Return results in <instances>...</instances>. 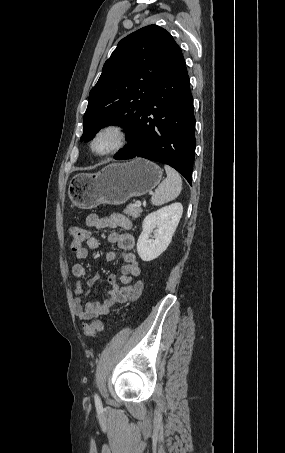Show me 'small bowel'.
I'll return each mask as SVG.
<instances>
[{"instance_id": "c3829d8e", "label": "small bowel", "mask_w": 285, "mask_h": 453, "mask_svg": "<svg viewBox=\"0 0 285 453\" xmlns=\"http://www.w3.org/2000/svg\"><path fill=\"white\" fill-rule=\"evenodd\" d=\"M88 227L98 230L119 228L122 232H111L107 236L109 243L117 245L120 249V258L124 262L121 268V275L118 278L110 275L107 279L109 290L106 292L102 301H89L85 304L82 299L88 295L89 289L98 281L99 276L93 275L85 284L86 268L81 263L72 266V274L76 278L74 284V312L80 321H87L108 314L109 311L120 303H126L137 299L143 290V281L140 279L141 269L136 255L133 252L135 245L134 237L128 232L132 228V222L122 214L110 216H99L90 214L85 219ZM99 247V240L92 235L87 236L86 247L76 253L78 259H86L89 250ZM118 254L115 251L106 253L107 261H115Z\"/></svg>"}]
</instances>
